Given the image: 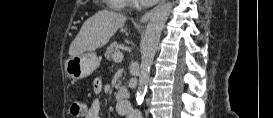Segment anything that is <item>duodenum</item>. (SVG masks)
<instances>
[{
	"instance_id": "1",
	"label": "duodenum",
	"mask_w": 273,
	"mask_h": 118,
	"mask_svg": "<svg viewBox=\"0 0 273 118\" xmlns=\"http://www.w3.org/2000/svg\"><path fill=\"white\" fill-rule=\"evenodd\" d=\"M129 96H130L129 91L124 87H120L116 90V99L118 101L126 100L129 98Z\"/></svg>"
}]
</instances>
